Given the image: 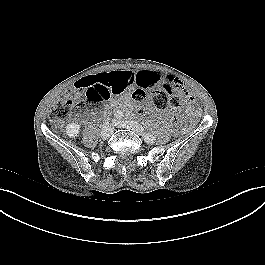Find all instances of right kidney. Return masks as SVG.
Returning <instances> with one entry per match:
<instances>
[{
	"instance_id": "ca27d5eb",
	"label": "right kidney",
	"mask_w": 265,
	"mask_h": 265,
	"mask_svg": "<svg viewBox=\"0 0 265 265\" xmlns=\"http://www.w3.org/2000/svg\"><path fill=\"white\" fill-rule=\"evenodd\" d=\"M66 135L70 138H75L80 132V125L77 123H70L65 129Z\"/></svg>"
}]
</instances>
